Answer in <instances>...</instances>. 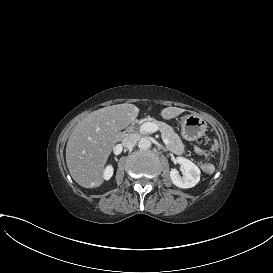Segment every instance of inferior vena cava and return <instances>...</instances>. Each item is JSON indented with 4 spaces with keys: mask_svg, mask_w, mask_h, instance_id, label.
<instances>
[{
    "mask_svg": "<svg viewBox=\"0 0 273 273\" xmlns=\"http://www.w3.org/2000/svg\"><path fill=\"white\" fill-rule=\"evenodd\" d=\"M139 137L137 134H130L122 140V145L126 148H132L135 146Z\"/></svg>",
    "mask_w": 273,
    "mask_h": 273,
    "instance_id": "obj_1",
    "label": "inferior vena cava"
}]
</instances>
